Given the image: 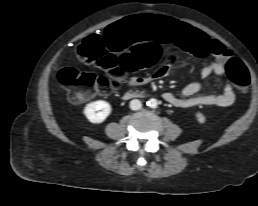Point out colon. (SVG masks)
<instances>
[{
  "label": "colon",
  "mask_w": 258,
  "mask_h": 206,
  "mask_svg": "<svg viewBox=\"0 0 258 206\" xmlns=\"http://www.w3.org/2000/svg\"><path fill=\"white\" fill-rule=\"evenodd\" d=\"M80 60L96 64L107 75L80 71L74 67H63L57 73L58 84L66 91L69 100L81 103L96 94H108L117 90L124 81L126 73L149 68L160 58V49L154 44H144L131 48L127 53L117 56L109 51L103 42L85 41L77 50ZM230 83L239 91L247 92L250 75L238 58H230L225 65Z\"/></svg>",
  "instance_id": "obj_1"
}]
</instances>
